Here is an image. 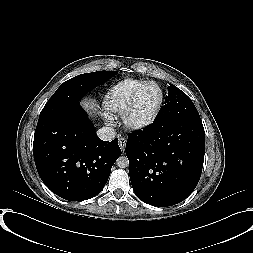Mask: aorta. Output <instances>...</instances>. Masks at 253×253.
<instances>
[{
    "label": "aorta",
    "instance_id": "obj_1",
    "mask_svg": "<svg viewBox=\"0 0 253 253\" xmlns=\"http://www.w3.org/2000/svg\"><path fill=\"white\" fill-rule=\"evenodd\" d=\"M116 164L119 168H126L129 166V159L126 156H120L117 159Z\"/></svg>",
    "mask_w": 253,
    "mask_h": 253
}]
</instances>
